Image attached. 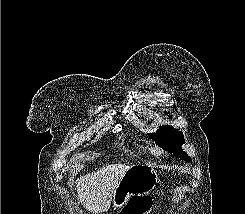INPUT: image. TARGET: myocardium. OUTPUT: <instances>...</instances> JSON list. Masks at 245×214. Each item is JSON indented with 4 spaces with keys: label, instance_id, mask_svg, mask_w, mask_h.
<instances>
[{
    "label": "myocardium",
    "instance_id": "1",
    "mask_svg": "<svg viewBox=\"0 0 245 214\" xmlns=\"http://www.w3.org/2000/svg\"><path fill=\"white\" fill-rule=\"evenodd\" d=\"M152 153L156 156H160L163 154V150L160 147L155 146L152 148Z\"/></svg>",
    "mask_w": 245,
    "mask_h": 214
}]
</instances>
